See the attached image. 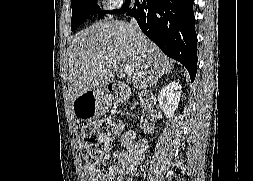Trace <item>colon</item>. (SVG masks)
Returning <instances> with one entry per match:
<instances>
[{
  "label": "colon",
  "mask_w": 253,
  "mask_h": 181,
  "mask_svg": "<svg viewBox=\"0 0 253 181\" xmlns=\"http://www.w3.org/2000/svg\"><path fill=\"white\" fill-rule=\"evenodd\" d=\"M114 125L104 119L85 126L80 133V146L84 160L88 164L96 163L108 149Z\"/></svg>",
  "instance_id": "1"
}]
</instances>
